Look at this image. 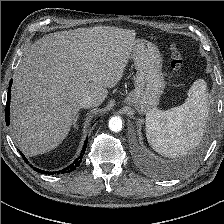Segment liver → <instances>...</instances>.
Returning <instances> with one entry per match:
<instances>
[{
    "mask_svg": "<svg viewBox=\"0 0 224 224\" xmlns=\"http://www.w3.org/2000/svg\"><path fill=\"white\" fill-rule=\"evenodd\" d=\"M136 32L116 27L79 28L35 41L13 75L11 134L27 156L55 149L92 96L96 106L123 77Z\"/></svg>",
    "mask_w": 224,
    "mask_h": 224,
    "instance_id": "liver-1",
    "label": "liver"
}]
</instances>
